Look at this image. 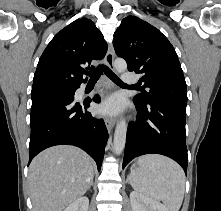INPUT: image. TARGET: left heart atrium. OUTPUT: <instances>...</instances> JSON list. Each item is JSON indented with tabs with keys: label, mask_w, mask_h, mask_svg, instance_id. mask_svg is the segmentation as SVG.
Instances as JSON below:
<instances>
[{
	"label": "left heart atrium",
	"mask_w": 221,
	"mask_h": 211,
	"mask_svg": "<svg viewBox=\"0 0 221 211\" xmlns=\"http://www.w3.org/2000/svg\"><path fill=\"white\" fill-rule=\"evenodd\" d=\"M122 109V101L119 96L112 95L106 98L99 106V111L102 114L115 115Z\"/></svg>",
	"instance_id": "1"
}]
</instances>
